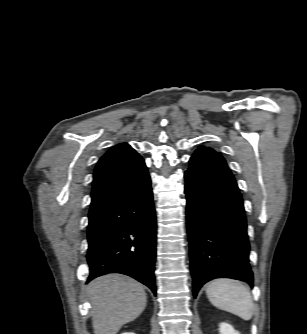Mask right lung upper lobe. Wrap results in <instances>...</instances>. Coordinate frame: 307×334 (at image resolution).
Wrapping results in <instances>:
<instances>
[{
  "label": "right lung upper lobe",
  "instance_id": "cb5924a9",
  "mask_svg": "<svg viewBox=\"0 0 307 334\" xmlns=\"http://www.w3.org/2000/svg\"><path fill=\"white\" fill-rule=\"evenodd\" d=\"M147 177L144 160L130 145L121 143L112 147L94 170L89 215L138 186Z\"/></svg>",
  "mask_w": 307,
  "mask_h": 334
}]
</instances>
